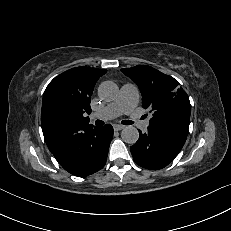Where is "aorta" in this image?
<instances>
[{
  "label": "aorta",
  "mask_w": 231,
  "mask_h": 231,
  "mask_svg": "<svg viewBox=\"0 0 231 231\" xmlns=\"http://www.w3.org/2000/svg\"><path fill=\"white\" fill-rule=\"evenodd\" d=\"M118 93L117 85L112 81H104L98 87V96L102 100L111 101ZM122 140L128 144H135L139 138V132L134 126H126L121 132Z\"/></svg>",
  "instance_id": "obj_1"
}]
</instances>
